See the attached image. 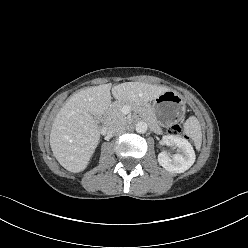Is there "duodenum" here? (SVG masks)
<instances>
[{"label": "duodenum", "instance_id": "1", "mask_svg": "<svg viewBox=\"0 0 248 248\" xmlns=\"http://www.w3.org/2000/svg\"><path fill=\"white\" fill-rule=\"evenodd\" d=\"M108 120V115L104 114L99 120H98V125L101 129V131L104 133L105 132V125L107 123Z\"/></svg>", "mask_w": 248, "mask_h": 248}]
</instances>
